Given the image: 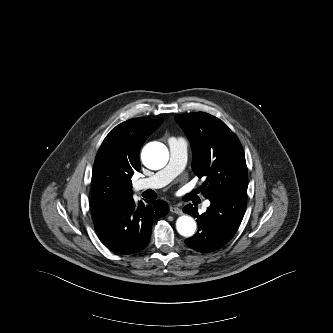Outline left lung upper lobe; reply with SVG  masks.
I'll list each match as a JSON object with an SVG mask.
<instances>
[{
	"label": "left lung upper lobe",
	"instance_id": "left-lung-upper-lobe-1",
	"mask_svg": "<svg viewBox=\"0 0 333 333\" xmlns=\"http://www.w3.org/2000/svg\"><path fill=\"white\" fill-rule=\"evenodd\" d=\"M175 121L190 140L193 172L199 178H206L197 191L206 198L223 193H247L244 152L228 126L204 112L177 115Z\"/></svg>",
	"mask_w": 333,
	"mask_h": 333
}]
</instances>
